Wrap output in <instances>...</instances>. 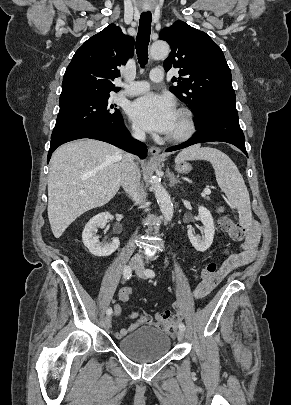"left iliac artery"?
Here are the masks:
<instances>
[{"mask_svg": "<svg viewBox=\"0 0 291 405\" xmlns=\"http://www.w3.org/2000/svg\"><path fill=\"white\" fill-rule=\"evenodd\" d=\"M145 275L147 277L152 278V277H155V272L153 270H151V269H146L145 270ZM179 329L182 330V331H185V325L183 323H180L179 324Z\"/></svg>", "mask_w": 291, "mask_h": 405, "instance_id": "1", "label": "left iliac artery"}]
</instances>
